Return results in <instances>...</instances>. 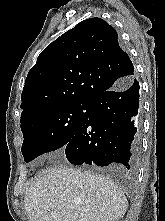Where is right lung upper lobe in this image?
Listing matches in <instances>:
<instances>
[{
	"mask_svg": "<svg viewBox=\"0 0 165 221\" xmlns=\"http://www.w3.org/2000/svg\"><path fill=\"white\" fill-rule=\"evenodd\" d=\"M134 77L116 30L90 18L67 31L37 58L21 95V122L46 110L90 103L97 95Z\"/></svg>",
	"mask_w": 165,
	"mask_h": 221,
	"instance_id": "right-lung-upper-lobe-1",
	"label": "right lung upper lobe"
}]
</instances>
